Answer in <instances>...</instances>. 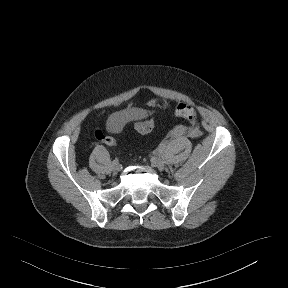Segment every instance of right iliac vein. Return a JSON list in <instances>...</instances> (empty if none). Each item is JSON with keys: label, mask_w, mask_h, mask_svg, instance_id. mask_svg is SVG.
<instances>
[{"label": "right iliac vein", "mask_w": 288, "mask_h": 288, "mask_svg": "<svg viewBox=\"0 0 288 288\" xmlns=\"http://www.w3.org/2000/svg\"><path fill=\"white\" fill-rule=\"evenodd\" d=\"M112 168L114 171H120L122 169L121 165L118 162H113L112 163Z\"/></svg>", "instance_id": "right-iliac-vein-1"}]
</instances>
